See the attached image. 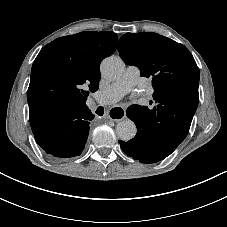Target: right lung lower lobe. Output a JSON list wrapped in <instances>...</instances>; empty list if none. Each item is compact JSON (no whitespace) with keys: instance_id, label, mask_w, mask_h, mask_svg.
Listing matches in <instances>:
<instances>
[{"instance_id":"right-lung-lower-lobe-1","label":"right lung lower lobe","mask_w":227,"mask_h":227,"mask_svg":"<svg viewBox=\"0 0 227 227\" xmlns=\"http://www.w3.org/2000/svg\"><path fill=\"white\" fill-rule=\"evenodd\" d=\"M29 118L35 140L46 153L70 158L83 151L94 115L86 105L62 110L50 103L36 102L29 105Z\"/></svg>"}]
</instances>
